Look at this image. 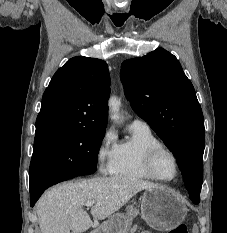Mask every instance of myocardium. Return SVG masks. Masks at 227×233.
<instances>
[{
	"mask_svg": "<svg viewBox=\"0 0 227 233\" xmlns=\"http://www.w3.org/2000/svg\"><path fill=\"white\" fill-rule=\"evenodd\" d=\"M161 153L169 154L172 157L173 161H174L175 174H174V176L172 178H169V179L163 178L156 171L155 162H156L157 157ZM143 163H144V168L147 171V173L153 179L161 181V182L174 181L178 177L179 172H180V164H179V159H178L177 155L171 149H169V148H167V147H165L163 145L155 146V147H152V148L148 149L146 151L145 155H144Z\"/></svg>",
	"mask_w": 227,
	"mask_h": 233,
	"instance_id": "obj_1",
	"label": "myocardium"
}]
</instances>
